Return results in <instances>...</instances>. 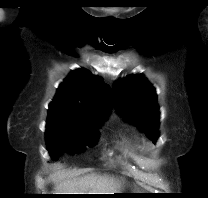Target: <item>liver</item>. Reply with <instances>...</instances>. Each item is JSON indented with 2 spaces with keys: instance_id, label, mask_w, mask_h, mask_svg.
<instances>
[{
  "instance_id": "liver-1",
  "label": "liver",
  "mask_w": 208,
  "mask_h": 198,
  "mask_svg": "<svg viewBox=\"0 0 208 198\" xmlns=\"http://www.w3.org/2000/svg\"><path fill=\"white\" fill-rule=\"evenodd\" d=\"M54 177L56 191L64 192L59 194H114L121 191V181L108 175L55 173Z\"/></svg>"
}]
</instances>
